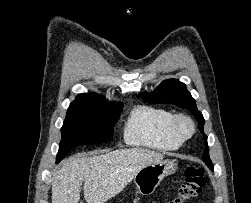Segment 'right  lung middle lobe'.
Returning a JSON list of instances; mask_svg holds the SVG:
<instances>
[{
  "instance_id": "right-lung-middle-lobe-1",
  "label": "right lung middle lobe",
  "mask_w": 251,
  "mask_h": 203,
  "mask_svg": "<svg viewBox=\"0 0 251 203\" xmlns=\"http://www.w3.org/2000/svg\"><path fill=\"white\" fill-rule=\"evenodd\" d=\"M122 108V103L70 105L61 128L56 163L77 146L110 142Z\"/></svg>"
}]
</instances>
